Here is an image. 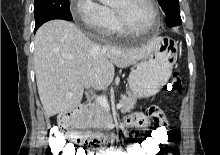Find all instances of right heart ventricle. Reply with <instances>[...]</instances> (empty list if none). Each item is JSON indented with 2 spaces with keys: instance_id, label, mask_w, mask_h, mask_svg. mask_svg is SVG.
I'll return each mask as SVG.
<instances>
[{
  "instance_id": "obj_1",
  "label": "right heart ventricle",
  "mask_w": 220,
  "mask_h": 155,
  "mask_svg": "<svg viewBox=\"0 0 220 155\" xmlns=\"http://www.w3.org/2000/svg\"><path fill=\"white\" fill-rule=\"evenodd\" d=\"M112 15H113V19H112V23H111V27H110V32L112 34H117V35H123L125 34V32L123 31L122 27L120 26L116 15L114 14V12L112 11Z\"/></svg>"
}]
</instances>
